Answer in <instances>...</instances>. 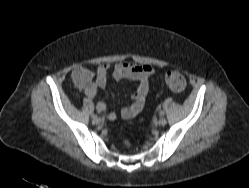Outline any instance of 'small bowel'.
I'll use <instances>...</instances> for the list:
<instances>
[{
    "label": "small bowel",
    "mask_w": 249,
    "mask_h": 188,
    "mask_svg": "<svg viewBox=\"0 0 249 188\" xmlns=\"http://www.w3.org/2000/svg\"><path fill=\"white\" fill-rule=\"evenodd\" d=\"M111 70L109 64H100L95 76L85 68H76L72 72V78L75 85L84 90L86 96L95 101L98 112L106 111V104L96 98L98 89H103L107 84V74ZM155 73L153 66L149 64H136L132 62L118 63L112 68V76L115 80L129 79L136 84V90L132 96V102L129 106L121 110V116L124 119H130L136 116L143 108L146 96L150 90L149 79ZM79 76V79H78ZM115 113L108 114V119L114 120Z\"/></svg>",
    "instance_id": "c3829d8e"
}]
</instances>
